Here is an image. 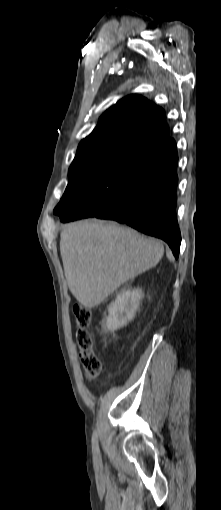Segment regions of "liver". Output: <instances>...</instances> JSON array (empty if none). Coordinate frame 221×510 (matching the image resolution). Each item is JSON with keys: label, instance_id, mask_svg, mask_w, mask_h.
I'll return each mask as SVG.
<instances>
[{"label": "liver", "instance_id": "6515ba94", "mask_svg": "<svg viewBox=\"0 0 221 510\" xmlns=\"http://www.w3.org/2000/svg\"><path fill=\"white\" fill-rule=\"evenodd\" d=\"M60 253L72 295L86 308L101 304L123 283L153 268L164 248L129 227L97 220L67 225Z\"/></svg>", "mask_w": 221, "mask_h": 510}]
</instances>
